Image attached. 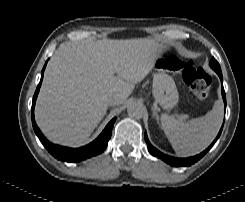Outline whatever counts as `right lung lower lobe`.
Masks as SVG:
<instances>
[{
	"instance_id": "1",
	"label": "right lung lower lobe",
	"mask_w": 245,
	"mask_h": 202,
	"mask_svg": "<svg viewBox=\"0 0 245 202\" xmlns=\"http://www.w3.org/2000/svg\"><path fill=\"white\" fill-rule=\"evenodd\" d=\"M47 64V62H46ZM46 64L42 70L41 73V80L40 83L37 86V89L35 91L34 97H33V102H32V125L34 128V131L36 133V135L38 136L39 140L41 141V143L43 144V146L50 152V154H52L55 158H57L58 160L61 161H67V162H79L82 161L84 159H87L89 157L95 156L97 154L102 153L108 144V141L111 137V132H112V128L114 125V122L116 120V118H113L108 125L105 127V129L103 130V132L99 135V137L94 140L92 143L83 146L81 148H67V147H63V146H58V145H54L52 143H50L40 132V130L38 129L35 120H34V106H35V101L42 83V79H43V73H44V69L46 67Z\"/></svg>"
}]
</instances>
